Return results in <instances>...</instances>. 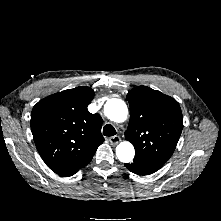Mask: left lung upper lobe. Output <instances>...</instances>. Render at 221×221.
Wrapping results in <instances>:
<instances>
[{"instance_id":"5c2ea615","label":"left lung upper lobe","mask_w":221,"mask_h":221,"mask_svg":"<svg viewBox=\"0 0 221 221\" xmlns=\"http://www.w3.org/2000/svg\"><path fill=\"white\" fill-rule=\"evenodd\" d=\"M130 121L125 138L135 147V158L166 163L173 154L183 128L179 103L146 86L127 94Z\"/></svg>"}]
</instances>
